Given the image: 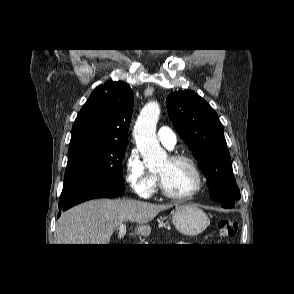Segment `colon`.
I'll list each match as a JSON object with an SVG mask.
<instances>
[{
  "label": "colon",
  "mask_w": 294,
  "mask_h": 294,
  "mask_svg": "<svg viewBox=\"0 0 294 294\" xmlns=\"http://www.w3.org/2000/svg\"><path fill=\"white\" fill-rule=\"evenodd\" d=\"M237 222L233 220H221L217 223L218 233L221 237H233L237 232Z\"/></svg>",
  "instance_id": "obj_1"
}]
</instances>
